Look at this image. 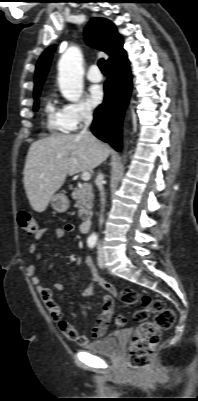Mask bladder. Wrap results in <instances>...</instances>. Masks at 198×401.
I'll return each instance as SVG.
<instances>
[{"label":"bladder","mask_w":198,"mask_h":401,"mask_svg":"<svg viewBox=\"0 0 198 401\" xmlns=\"http://www.w3.org/2000/svg\"><path fill=\"white\" fill-rule=\"evenodd\" d=\"M89 352L110 357H117L120 345L116 334H108L98 341L90 343L85 347Z\"/></svg>","instance_id":"1"}]
</instances>
